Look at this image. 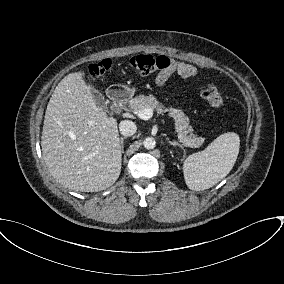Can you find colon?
Instances as JSON below:
<instances>
[{"label":"colon","mask_w":284,"mask_h":284,"mask_svg":"<svg viewBox=\"0 0 284 284\" xmlns=\"http://www.w3.org/2000/svg\"><path fill=\"white\" fill-rule=\"evenodd\" d=\"M171 61L166 56H152L150 54H138L130 59L131 68L141 76H146L151 73L162 71L169 68ZM110 67L107 60L98 63L90 64L87 68L89 74L93 77H100L104 75ZM200 95L208 101V103L215 108H221L224 105L223 98L217 89L210 84L200 87Z\"/></svg>","instance_id":"5ec220e1"}]
</instances>
